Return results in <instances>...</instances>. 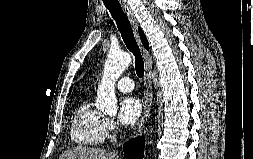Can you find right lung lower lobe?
I'll use <instances>...</instances> for the list:
<instances>
[{"label": "right lung lower lobe", "mask_w": 253, "mask_h": 159, "mask_svg": "<svg viewBox=\"0 0 253 159\" xmlns=\"http://www.w3.org/2000/svg\"><path fill=\"white\" fill-rule=\"evenodd\" d=\"M144 143L143 137H138L125 143L123 151L126 159H143Z\"/></svg>", "instance_id": "1"}]
</instances>
